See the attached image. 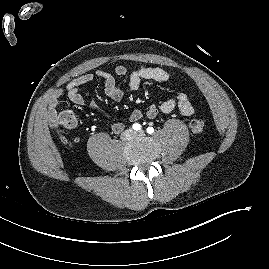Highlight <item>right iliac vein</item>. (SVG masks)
<instances>
[{
	"mask_svg": "<svg viewBox=\"0 0 269 269\" xmlns=\"http://www.w3.org/2000/svg\"><path fill=\"white\" fill-rule=\"evenodd\" d=\"M133 132L131 130H127L122 134V139L123 140H130L133 137Z\"/></svg>",
	"mask_w": 269,
	"mask_h": 269,
	"instance_id": "right-iliac-vein-1",
	"label": "right iliac vein"
}]
</instances>
